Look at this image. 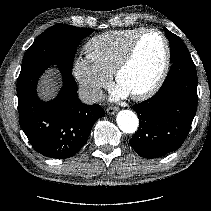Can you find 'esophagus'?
Here are the masks:
<instances>
[{"instance_id":"esophagus-1","label":"esophagus","mask_w":211,"mask_h":211,"mask_svg":"<svg viewBox=\"0 0 211 211\" xmlns=\"http://www.w3.org/2000/svg\"><path fill=\"white\" fill-rule=\"evenodd\" d=\"M106 111L108 114L112 115L118 111V108L117 107H108Z\"/></svg>"}]
</instances>
